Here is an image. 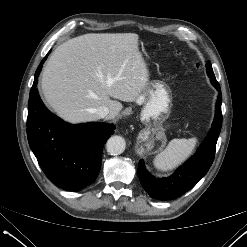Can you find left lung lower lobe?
Returning <instances> with one entry per match:
<instances>
[{"mask_svg": "<svg viewBox=\"0 0 247 247\" xmlns=\"http://www.w3.org/2000/svg\"><path fill=\"white\" fill-rule=\"evenodd\" d=\"M219 95L215 118L203 144L197 152L174 174L166 178H156L145 168L143 160L139 161L138 176L143 188L155 199L172 200L190 190L207 173L213 163L217 139L222 125L221 89L218 82H212Z\"/></svg>", "mask_w": 247, "mask_h": 247, "instance_id": "0a47b994", "label": "left lung lower lobe"}]
</instances>
